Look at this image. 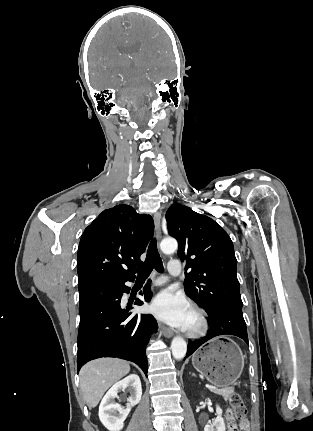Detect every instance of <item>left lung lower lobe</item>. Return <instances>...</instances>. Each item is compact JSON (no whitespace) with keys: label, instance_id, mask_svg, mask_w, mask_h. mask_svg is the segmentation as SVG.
<instances>
[{"label":"left lung lower lobe","instance_id":"0a47b994","mask_svg":"<svg viewBox=\"0 0 313 431\" xmlns=\"http://www.w3.org/2000/svg\"><path fill=\"white\" fill-rule=\"evenodd\" d=\"M208 322L210 323V330L208 334L199 340L189 341L186 357L190 356L205 342L219 335H235L242 338L248 344L246 323L243 318L242 309H219L213 314L209 315Z\"/></svg>","mask_w":313,"mask_h":431}]
</instances>
